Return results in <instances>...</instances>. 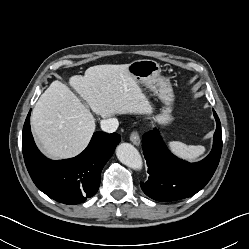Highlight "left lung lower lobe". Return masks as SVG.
I'll use <instances>...</instances> for the list:
<instances>
[{
    "label": "left lung lower lobe",
    "mask_w": 249,
    "mask_h": 249,
    "mask_svg": "<svg viewBox=\"0 0 249 249\" xmlns=\"http://www.w3.org/2000/svg\"><path fill=\"white\" fill-rule=\"evenodd\" d=\"M213 113L217 123L213 148L205 159L197 163H188L170 153L156 129L144 135L142 147L150 176L140 185L147 196L162 202L184 199L209 182L222 151L221 124L214 110Z\"/></svg>",
    "instance_id": "1"
}]
</instances>
